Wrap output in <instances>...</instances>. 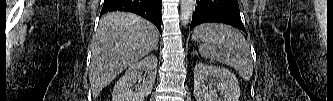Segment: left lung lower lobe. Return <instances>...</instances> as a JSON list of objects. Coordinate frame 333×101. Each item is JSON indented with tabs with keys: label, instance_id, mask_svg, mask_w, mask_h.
Instances as JSON below:
<instances>
[{
	"label": "left lung lower lobe",
	"instance_id": "0a47b994",
	"mask_svg": "<svg viewBox=\"0 0 333 101\" xmlns=\"http://www.w3.org/2000/svg\"><path fill=\"white\" fill-rule=\"evenodd\" d=\"M206 22L229 24L246 33L237 0H197L190 30Z\"/></svg>",
	"mask_w": 333,
	"mask_h": 101
}]
</instances>
